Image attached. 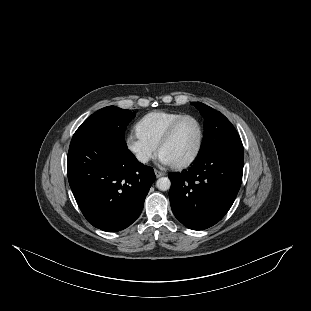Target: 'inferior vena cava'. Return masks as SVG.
<instances>
[{
	"mask_svg": "<svg viewBox=\"0 0 311 311\" xmlns=\"http://www.w3.org/2000/svg\"><path fill=\"white\" fill-rule=\"evenodd\" d=\"M136 158L141 162V163H147L149 161V157L143 154H138L136 155Z\"/></svg>",
	"mask_w": 311,
	"mask_h": 311,
	"instance_id": "1",
	"label": "inferior vena cava"
}]
</instances>
